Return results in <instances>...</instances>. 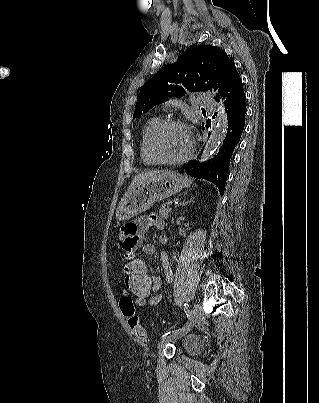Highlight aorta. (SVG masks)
Wrapping results in <instances>:
<instances>
[{
	"label": "aorta",
	"instance_id": "aorta-1",
	"mask_svg": "<svg viewBox=\"0 0 319 403\" xmlns=\"http://www.w3.org/2000/svg\"><path fill=\"white\" fill-rule=\"evenodd\" d=\"M228 128L227 114L223 106V101H220L219 114L217 124L211 131V134L206 142V145L200 156V162L207 160L218 149L220 144L226 137Z\"/></svg>",
	"mask_w": 319,
	"mask_h": 403
}]
</instances>
